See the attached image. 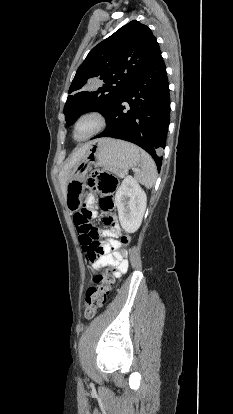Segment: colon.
<instances>
[{"instance_id":"colon-1","label":"colon","mask_w":233,"mask_h":414,"mask_svg":"<svg viewBox=\"0 0 233 414\" xmlns=\"http://www.w3.org/2000/svg\"><path fill=\"white\" fill-rule=\"evenodd\" d=\"M89 187L101 194V209L108 213L114 206L112 194L118 186V179L103 170L95 171L89 178ZM91 211L86 207H82L74 216L75 224L81 237V244L87 251V259L89 262H95L100 255L104 253V244L99 239V231L93 228L89 219ZM131 242V237L125 234L121 237V246L119 254L126 255V248ZM93 277V284L90 285L85 295V316L91 319L97 311L105 305L114 286L113 273L110 269L100 266L96 269Z\"/></svg>"}]
</instances>
